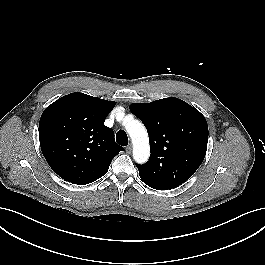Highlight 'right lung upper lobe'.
<instances>
[{"instance_id": "cb5924a9", "label": "right lung upper lobe", "mask_w": 265, "mask_h": 265, "mask_svg": "<svg viewBox=\"0 0 265 265\" xmlns=\"http://www.w3.org/2000/svg\"><path fill=\"white\" fill-rule=\"evenodd\" d=\"M115 106L80 92L68 94L48 106L39 122L42 153L62 179L89 184L106 174L112 159L124 149L104 125Z\"/></svg>"}]
</instances>
